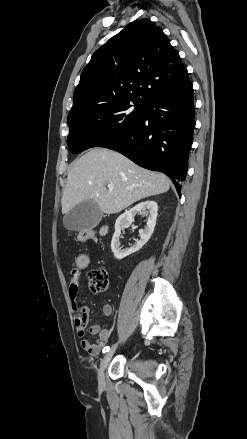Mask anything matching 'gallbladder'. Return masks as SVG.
<instances>
[{
	"instance_id": "1",
	"label": "gallbladder",
	"mask_w": 247,
	"mask_h": 439,
	"mask_svg": "<svg viewBox=\"0 0 247 439\" xmlns=\"http://www.w3.org/2000/svg\"><path fill=\"white\" fill-rule=\"evenodd\" d=\"M103 216L99 206L92 200L81 202L63 217V224L71 231H81L96 227Z\"/></svg>"
}]
</instances>
